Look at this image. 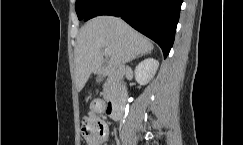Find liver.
Listing matches in <instances>:
<instances>
[{
    "mask_svg": "<svg viewBox=\"0 0 243 145\" xmlns=\"http://www.w3.org/2000/svg\"><path fill=\"white\" fill-rule=\"evenodd\" d=\"M153 44L127 23L112 16H98L80 30L74 50L76 88L80 92L90 75L103 63V49L111 53L110 64L123 65L153 50Z\"/></svg>",
    "mask_w": 243,
    "mask_h": 145,
    "instance_id": "obj_1",
    "label": "liver"
}]
</instances>
